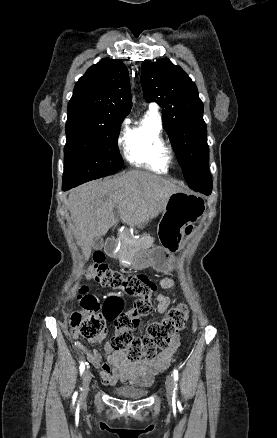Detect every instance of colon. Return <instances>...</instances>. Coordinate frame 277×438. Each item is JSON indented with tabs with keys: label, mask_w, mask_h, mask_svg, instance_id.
<instances>
[{
	"label": "colon",
	"mask_w": 277,
	"mask_h": 438,
	"mask_svg": "<svg viewBox=\"0 0 277 438\" xmlns=\"http://www.w3.org/2000/svg\"><path fill=\"white\" fill-rule=\"evenodd\" d=\"M93 260L95 263L89 264L85 272L89 280L134 299L133 306L125 312H120L118 319L113 322L119 329L111 337L113 348L125 352L130 361L142 359L154 361L156 352L167 349L171 338L186 325V306L181 304L172 307L166 318L149 324L144 334L135 335L129 330L135 325L137 319L154 311L151 300L156 288L154 282L144 273L123 274L112 270L105 263L103 253H96ZM77 292L87 315L83 320L82 315L75 312L69 328L72 333H81L88 341L93 342L99 334L104 333L105 321L101 319L98 312L96 297L90 296L91 286L86 283L80 284Z\"/></svg>",
	"instance_id": "5ec220e1"
}]
</instances>
